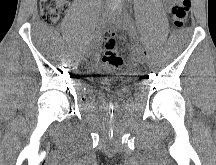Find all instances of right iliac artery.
Wrapping results in <instances>:
<instances>
[{
	"label": "right iliac artery",
	"mask_w": 216,
	"mask_h": 165,
	"mask_svg": "<svg viewBox=\"0 0 216 165\" xmlns=\"http://www.w3.org/2000/svg\"><path fill=\"white\" fill-rule=\"evenodd\" d=\"M88 43L91 45L93 42L90 40Z\"/></svg>",
	"instance_id": "82829eb1"
}]
</instances>
